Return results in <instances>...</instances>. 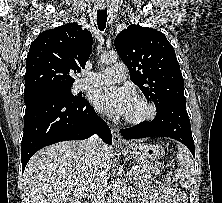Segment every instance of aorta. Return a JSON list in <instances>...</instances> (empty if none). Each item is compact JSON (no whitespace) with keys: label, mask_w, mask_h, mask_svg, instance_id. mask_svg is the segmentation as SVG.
Wrapping results in <instances>:
<instances>
[{"label":"aorta","mask_w":222,"mask_h":203,"mask_svg":"<svg viewBox=\"0 0 222 203\" xmlns=\"http://www.w3.org/2000/svg\"><path fill=\"white\" fill-rule=\"evenodd\" d=\"M117 58H118L117 53L114 51H110L102 54L100 57V61L103 64H112L117 61ZM123 193H124V183L121 178H117L113 181V188H112L114 203H120L122 201Z\"/></svg>","instance_id":"obj_1"}]
</instances>
